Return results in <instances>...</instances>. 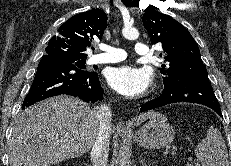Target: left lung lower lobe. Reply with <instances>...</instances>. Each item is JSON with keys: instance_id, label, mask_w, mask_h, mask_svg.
I'll list each match as a JSON object with an SVG mask.
<instances>
[{"instance_id": "obj_1", "label": "left lung lower lobe", "mask_w": 231, "mask_h": 166, "mask_svg": "<svg viewBox=\"0 0 231 166\" xmlns=\"http://www.w3.org/2000/svg\"><path fill=\"white\" fill-rule=\"evenodd\" d=\"M178 102H190L205 105L213 109L222 117L220 105L214 94L210 81L193 79L179 80L165 86L162 94L141 106L140 111L145 112L164 105Z\"/></svg>"}]
</instances>
